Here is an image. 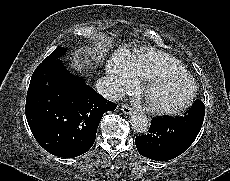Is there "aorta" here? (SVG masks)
<instances>
[{"label": "aorta", "instance_id": "obj_1", "mask_svg": "<svg viewBox=\"0 0 230 181\" xmlns=\"http://www.w3.org/2000/svg\"><path fill=\"white\" fill-rule=\"evenodd\" d=\"M132 128L140 134H147L150 128V122L146 115L141 112H133L130 120Z\"/></svg>", "mask_w": 230, "mask_h": 181}]
</instances>
